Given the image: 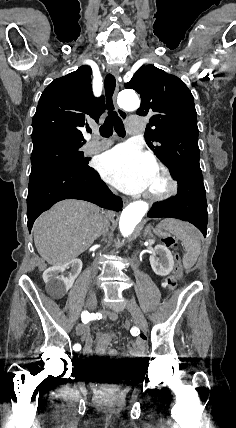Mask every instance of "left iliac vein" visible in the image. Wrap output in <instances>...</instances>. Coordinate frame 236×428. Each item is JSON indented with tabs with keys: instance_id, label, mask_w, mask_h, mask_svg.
<instances>
[{
	"instance_id": "left-iliac-vein-1",
	"label": "left iliac vein",
	"mask_w": 236,
	"mask_h": 428,
	"mask_svg": "<svg viewBox=\"0 0 236 428\" xmlns=\"http://www.w3.org/2000/svg\"><path fill=\"white\" fill-rule=\"evenodd\" d=\"M129 306L128 309L129 311H131L133 317H134V323L136 328H140L142 330L143 333L147 332V324L145 321L144 316H142L141 312H140V308L138 306V304L134 301L133 298H131L130 300L128 299L126 301Z\"/></svg>"
}]
</instances>
